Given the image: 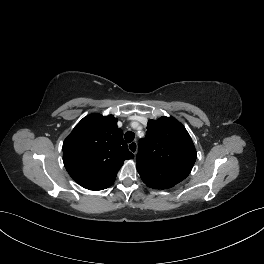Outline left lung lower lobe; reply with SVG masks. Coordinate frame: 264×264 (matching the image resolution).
Here are the masks:
<instances>
[{
    "instance_id": "left-lung-lower-lobe-1",
    "label": "left lung lower lobe",
    "mask_w": 264,
    "mask_h": 264,
    "mask_svg": "<svg viewBox=\"0 0 264 264\" xmlns=\"http://www.w3.org/2000/svg\"><path fill=\"white\" fill-rule=\"evenodd\" d=\"M140 176L147 186L155 189H167L178 183L160 168H151L146 172L140 173Z\"/></svg>"
}]
</instances>
